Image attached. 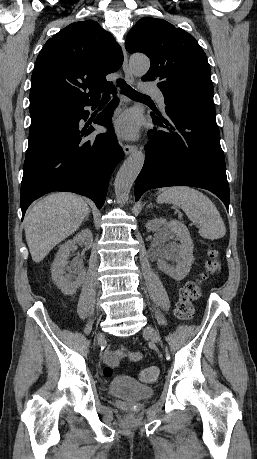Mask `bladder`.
Returning a JSON list of instances; mask_svg holds the SVG:
<instances>
[{"label": "bladder", "mask_w": 257, "mask_h": 459, "mask_svg": "<svg viewBox=\"0 0 257 459\" xmlns=\"http://www.w3.org/2000/svg\"><path fill=\"white\" fill-rule=\"evenodd\" d=\"M112 396L120 397L128 401H139L154 395V388L144 385L135 379L125 376H117L108 387Z\"/></svg>", "instance_id": "1"}]
</instances>
